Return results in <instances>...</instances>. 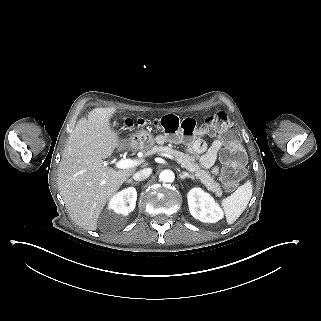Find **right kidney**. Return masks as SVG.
Masks as SVG:
<instances>
[{
  "label": "right kidney",
  "mask_w": 321,
  "mask_h": 321,
  "mask_svg": "<svg viewBox=\"0 0 321 321\" xmlns=\"http://www.w3.org/2000/svg\"><path fill=\"white\" fill-rule=\"evenodd\" d=\"M136 199V190L134 188H128L113 197L109 208L114 209L117 213L126 214L134 209Z\"/></svg>",
  "instance_id": "obj_1"
}]
</instances>
